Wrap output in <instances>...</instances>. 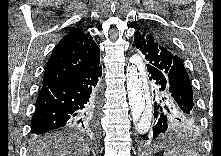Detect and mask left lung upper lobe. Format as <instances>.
Segmentation results:
<instances>
[{
    "label": "left lung upper lobe",
    "instance_id": "obj_1",
    "mask_svg": "<svg viewBox=\"0 0 221 156\" xmlns=\"http://www.w3.org/2000/svg\"><path fill=\"white\" fill-rule=\"evenodd\" d=\"M134 46L147 61V68H156L167 74L171 95L177 104L197 115L189 76L167 38L153 27L145 26L134 33Z\"/></svg>",
    "mask_w": 221,
    "mask_h": 156
}]
</instances>
